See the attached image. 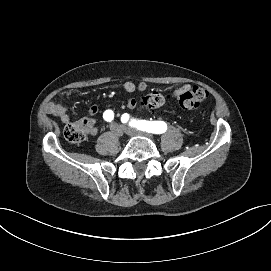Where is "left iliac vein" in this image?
<instances>
[{"mask_svg":"<svg viewBox=\"0 0 271 271\" xmlns=\"http://www.w3.org/2000/svg\"><path fill=\"white\" fill-rule=\"evenodd\" d=\"M124 131L126 133H128L129 135H139V136L147 137L149 139H153L152 134L146 133V132H141V131H138V130H135V129H132V128H129V127H124Z\"/></svg>","mask_w":271,"mask_h":271,"instance_id":"obj_1","label":"left iliac vein"}]
</instances>
